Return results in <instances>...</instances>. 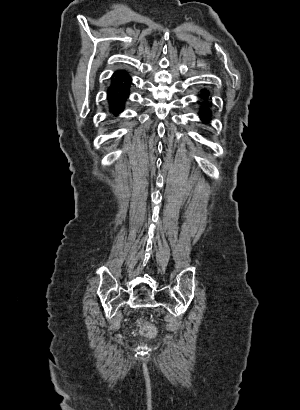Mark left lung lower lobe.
<instances>
[{
	"label": "left lung lower lobe",
	"instance_id": "obj_1",
	"mask_svg": "<svg viewBox=\"0 0 300 410\" xmlns=\"http://www.w3.org/2000/svg\"><path fill=\"white\" fill-rule=\"evenodd\" d=\"M200 97L203 99L202 102H200V107H199V114L201 120L208 124L211 121L212 117V102H210V94L209 91L204 89L202 93L200 94Z\"/></svg>",
	"mask_w": 300,
	"mask_h": 410
}]
</instances>
